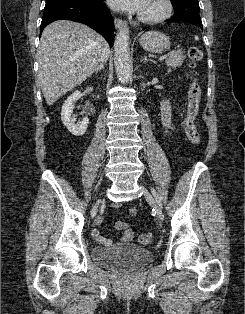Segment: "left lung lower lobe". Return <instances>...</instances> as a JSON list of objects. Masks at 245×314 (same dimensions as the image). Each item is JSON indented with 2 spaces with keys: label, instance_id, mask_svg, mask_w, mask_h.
I'll return each mask as SVG.
<instances>
[{
  "label": "left lung lower lobe",
  "instance_id": "left-lung-lower-lobe-1",
  "mask_svg": "<svg viewBox=\"0 0 245 314\" xmlns=\"http://www.w3.org/2000/svg\"><path fill=\"white\" fill-rule=\"evenodd\" d=\"M183 20H189V19L183 18V17H172L171 19H167L166 21L167 22H179V21H183ZM192 22L198 24L201 27V29H202V22H196V21H192ZM144 29H146V28H143V30Z\"/></svg>",
  "mask_w": 245,
  "mask_h": 314
}]
</instances>
